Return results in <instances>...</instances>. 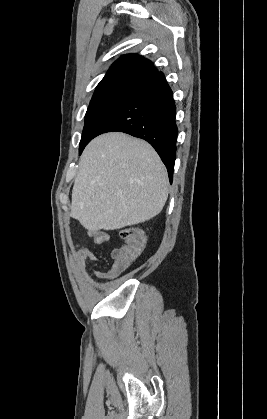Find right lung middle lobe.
<instances>
[{"mask_svg": "<svg viewBox=\"0 0 267 419\" xmlns=\"http://www.w3.org/2000/svg\"><path fill=\"white\" fill-rule=\"evenodd\" d=\"M130 93V91H111L93 95L85 115L79 154L92 139L95 130L105 117Z\"/></svg>", "mask_w": 267, "mask_h": 419, "instance_id": "1", "label": "right lung middle lobe"}]
</instances>
